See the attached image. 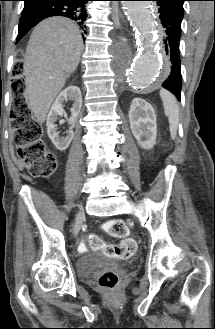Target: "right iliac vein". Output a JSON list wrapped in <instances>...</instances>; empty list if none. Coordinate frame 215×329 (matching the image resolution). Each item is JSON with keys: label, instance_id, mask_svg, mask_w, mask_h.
I'll return each instance as SVG.
<instances>
[{"label": "right iliac vein", "instance_id": "right-iliac-vein-1", "mask_svg": "<svg viewBox=\"0 0 215 329\" xmlns=\"http://www.w3.org/2000/svg\"><path fill=\"white\" fill-rule=\"evenodd\" d=\"M83 212H80L76 218L75 228H74V236L79 234L81 223H82Z\"/></svg>", "mask_w": 215, "mask_h": 329}]
</instances>
